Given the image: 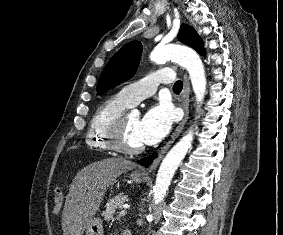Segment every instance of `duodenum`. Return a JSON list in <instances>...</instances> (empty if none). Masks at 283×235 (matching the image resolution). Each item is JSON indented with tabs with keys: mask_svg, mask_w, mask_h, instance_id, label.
Here are the masks:
<instances>
[{
	"mask_svg": "<svg viewBox=\"0 0 283 235\" xmlns=\"http://www.w3.org/2000/svg\"><path fill=\"white\" fill-rule=\"evenodd\" d=\"M122 235H131L128 229L123 230Z\"/></svg>",
	"mask_w": 283,
	"mask_h": 235,
	"instance_id": "obj_1",
	"label": "duodenum"
}]
</instances>
